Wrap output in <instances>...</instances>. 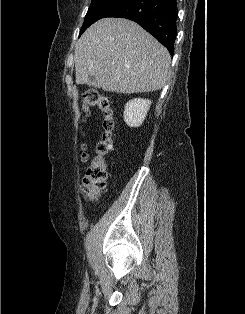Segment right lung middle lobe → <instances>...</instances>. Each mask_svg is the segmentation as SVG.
Masks as SVG:
<instances>
[{
    "label": "right lung middle lobe",
    "instance_id": "obj_1",
    "mask_svg": "<svg viewBox=\"0 0 245 314\" xmlns=\"http://www.w3.org/2000/svg\"><path fill=\"white\" fill-rule=\"evenodd\" d=\"M126 0H92L88 12L85 16L80 35L94 22L104 18L106 14L115 9ZM79 35V36H80Z\"/></svg>",
    "mask_w": 245,
    "mask_h": 314
}]
</instances>
